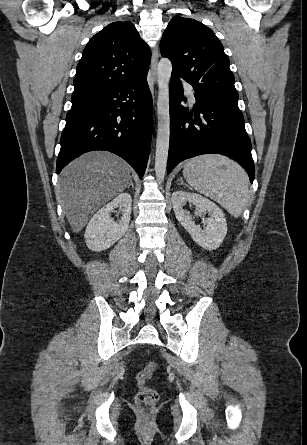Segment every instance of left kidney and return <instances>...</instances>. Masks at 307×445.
Returning a JSON list of instances; mask_svg holds the SVG:
<instances>
[{
    "label": "left kidney",
    "mask_w": 307,
    "mask_h": 445,
    "mask_svg": "<svg viewBox=\"0 0 307 445\" xmlns=\"http://www.w3.org/2000/svg\"><path fill=\"white\" fill-rule=\"evenodd\" d=\"M171 198L177 220H179V223H181L185 231H188L193 241H195L197 245H200V247H203V249H207V251H215V249H218L227 233V223L223 210H221L215 202L208 200V198L201 196V194H196V192L176 190V192H173ZM186 202L195 204L199 216H202L205 212H209L210 218H207L209 225L205 227L204 231H202L200 227H196L194 220H192L190 216V212L184 210L183 206Z\"/></svg>",
    "instance_id": "1"
}]
</instances>
